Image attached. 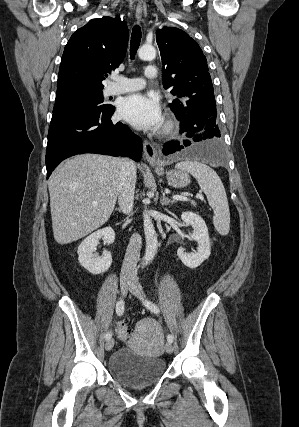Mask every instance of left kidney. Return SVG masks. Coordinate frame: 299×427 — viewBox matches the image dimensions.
Segmentation results:
<instances>
[{"instance_id":"obj_1","label":"left kidney","mask_w":299,"mask_h":427,"mask_svg":"<svg viewBox=\"0 0 299 427\" xmlns=\"http://www.w3.org/2000/svg\"><path fill=\"white\" fill-rule=\"evenodd\" d=\"M181 219L183 224L193 228L191 239L198 243V248L197 251L191 253H187L183 248H179L177 255L185 266L194 269L210 256L211 247L208 228L205 221L196 213L184 212L181 215Z\"/></svg>"}]
</instances>
